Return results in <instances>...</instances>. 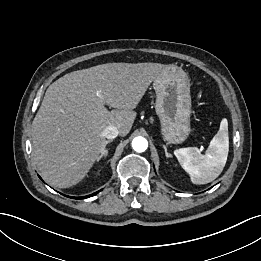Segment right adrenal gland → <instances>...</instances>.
Segmentation results:
<instances>
[{"label":"right adrenal gland","instance_id":"1","mask_svg":"<svg viewBox=\"0 0 261 261\" xmlns=\"http://www.w3.org/2000/svg\"><path fill=\"white\" fill-rule=\"evenodd\" d=\"M110 142H112V140H108V141H106L105 146H106L108 143H110ZM107 154H108V150L104 148L102 154H101L100 157H99V160H100L101 158L106 159Z\"/></svg>","mask_w":261,"mask_h":261}]
</instances>
